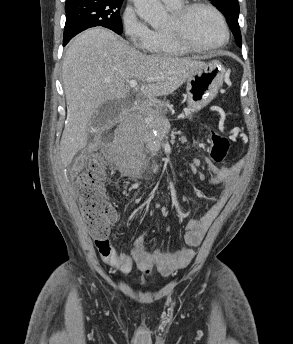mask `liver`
Segmentation results:
<instances>
[{"label": "liver", "instance_id": "obj_1", "mask_svg": "<svg viewBox=\"0 0 293 344\" xmlns=\"http://www.w3.org/2000/svg\"><path fill=\"white\" fill-rule=\"evenodd\" d=\"M205 65L191 58L146 55L104 28L81 33L68 47L62 66L67 118L60 142L64 167L87 145L92 116L110 100L129 94L128 82H141L146 99L166 96Z\"/></svg>", "mask_w": 293, "mask_h": 344}]
</instances>
